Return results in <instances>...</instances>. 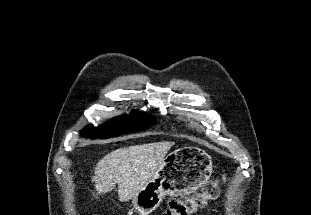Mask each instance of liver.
Here are the masks:
<instances>
[{
  "label": "liver",
  "instance_id": "obj_1",
  "mask_svg": "<svg viewBox=\"0 0 311 215\" xmlns=\"http://www.w3.org/2000/svg\"><path fill=\"white\" fill-rule=\"evenodd\" d=\"M174 142L162 141L114 150L98 161L92 182L96 195L106 194L118 184L121 202L134 199L154 176Z\"/></svg>",
  "mask_w": 311,
  "mask_h": 215
}]
</instances>
